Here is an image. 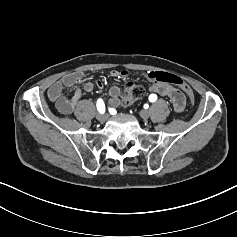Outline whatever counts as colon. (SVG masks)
Listing matches in <instances>:
<instances>
[{"label":"colon","mask_w":237,"mask_h":237,"mask_svg":"<svg viewBox=\"0 0 237 237\" xmlns=\"http://www.w3.org/2000/svg\"><path fill=\"white\" fill-rule=\"evenodd\" d=\"M149 77L156 82L179 86L188 95L191 102H194V93L192 89L180 77L168 72H150ZM144 92L142 86L130 84L126 89V96L124 97L122 104L124 106L130 105L134 101L140 99L144 95Z\"/></svg>","instance_id":"5ec220e1"}]
</instances>
